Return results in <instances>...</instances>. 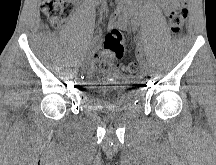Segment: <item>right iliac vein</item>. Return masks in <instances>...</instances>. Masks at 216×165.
Returning <instances> with one entry per match:
<instances>
[{"mask_svg":"<svg viewBox=\"0 0 216 165\" xmlns=\"http://www.w3.org/2000/svg\"><path fill=\"white\" fill-rule=\"evenodd\" d=\"M80 65H81V69H86V65H87V64L81 63Z\"/></svg>","mask_w":216,"mask_h":165,"instance_id":"63e3f726","label":"right iliac vein"}]
</instances>
